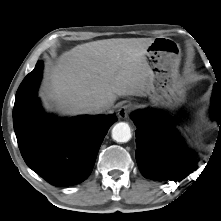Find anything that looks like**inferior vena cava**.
<instances>
[{"instance_id":"inferior-vena-cava-1","label":"inferior vena cava","mask_w":221,"mask_h":221,"mask_svg":"<svg viewBox=\"0 0 221 221\" xmlns=\"http://www.w3.org/2000/svg\"><path fill=\"white\" fill-rule=\"evenodd\" d=\"M110 108V105L106 102H95L86 106L85 112L88 114H100Z\"/></svg>"}]
</instances>
